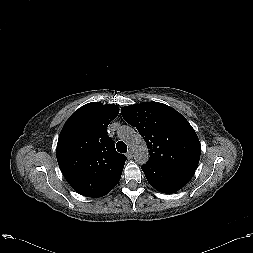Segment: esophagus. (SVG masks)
<instances>
[{
  "label": "esophagus",
  "instance_id": "esophagus-1",
  "mask_svg": "<svg viewBox=\"0 0 253 253\" xmlns=\"http://www.w3.org/2000/svg\"><path fill=\"white\" fill-rule=\"evenodd\" d=\"M126 156H127L128 159H131V158L133 157L132 151L129 150V151L127 152Z\"/></svg>",
  "mask_w": 253,
  "mask_h": 253
}]
</instances>
